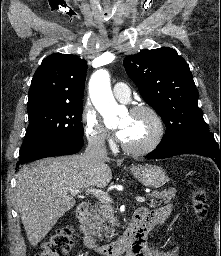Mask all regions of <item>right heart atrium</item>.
Segmentation results:
<instances>
[{
	"label": "right heart atrium",
	"instance_id": "right-heart-atrium-1",
	"mask_svg": "<svg viewBox=\"0 0 221 256\" xmlns=\"http://www.w3.org/2000/svg\"><path fill=\"white\" fill-rule=\"evenodd\" d=\"M82 123L88 142L96 147H104L109 142L107 130L102 125L97 112L87 105L82 114Z\"/></svg>",
	"mask_w": 221,
	"mask_h": 256
}]
</instances>
